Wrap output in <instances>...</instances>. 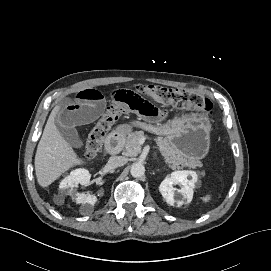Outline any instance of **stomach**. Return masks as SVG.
I'll return each instance as SVG.
<instances>
[{
  "label": "stomach",
  "mask_w": 271,
  "mask_h": 271,
  "mask_svg": "<svg viewBox=\"0 0 271 271\" xmlns=\"http://www.w3.org/2000/svg\"><path fill=\"white\" fill-rule=\"evenodd\" d=\"M133 125L154 130L151 125L144 122L135 121ZM157 131L165 135L169 143L189 161L200 160L209 152L211 124L202 113L177 115Z\"/></svg>",
  "instance_id": "stomach-1"
}]
</instances>
